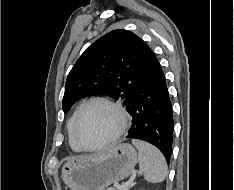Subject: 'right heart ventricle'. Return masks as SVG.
<instances>
[{
    "label": "right heart ventricle",
    "instance_id": "1",
    "mask_svg": "<svg viewBox=\"0 0 234 190\" xmlns=\"http://www.w3.org/2000/svg\"><path fill=\"white\" fill-rule=\"evenodd\" d=\"M79 109H76L74 111V113L72 114V116L70 117L68 124H67V131H68V135H69V144L71 146V148L75 151H80V148L78 147V145L74 142V140L72 139V127H73V123L76 117V114L78 112Z\"/></svg>",
    "mask_w": 234,
    "mask_h": 190
}]
</instances>
